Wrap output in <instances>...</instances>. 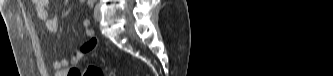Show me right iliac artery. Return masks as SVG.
<instances>
[{
    "label": "right iliac artery",
    "instance_id": "right-iliac-artery-1",
    "mask_svg": "<svg viewBox=\"0 0 333 76\" xmlns=\"http://www.w3.org/2000/svg\"><path fill=\"white\" fill-rule=\"evenodd\" d=\"M88 4H89V5H92V4H93V0H89V1H88Z\"/></svg>",
    "mask_w": 333,
    "mask_h": 76
}]
</instances>
